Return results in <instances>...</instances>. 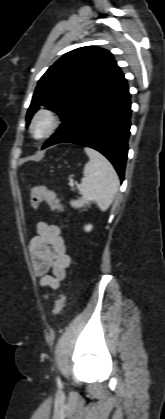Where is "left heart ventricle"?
Segmentation results:
<instances>
[{
  "label": "left heart ventricle",
  "mask_w": 165,
  "mask_h": 419,
  "mask_svg": "<svg viewBox=\"0 0 165 419\" xmlns=\"http://www.w3.org/2000/svg\"><path fill=\"white\" fill-rule=\"evenodd\" d=\"M44 122H39L37 125H36V127H35V129H36V131L37 132H40V131H42L43 130V128H44Z\"/></svg>",
  "instance_id": "obj_1"
}]
</instances>
